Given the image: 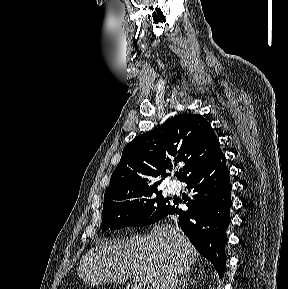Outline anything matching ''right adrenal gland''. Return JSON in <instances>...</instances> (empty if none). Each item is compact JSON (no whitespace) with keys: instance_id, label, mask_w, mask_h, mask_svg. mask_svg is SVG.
Returning <instances> with one entry per match:
<instances>
[{"instance_id":"2a0ac1e0","label":"right adrenal gland","mask_w":288,"mask_h":289,"mask_svg":"<svg viewBox=\"0 0 288 289\" xmlns=\"http://www.w3.org/2000/svg\"><path fill=\"white\" fill-rule=\"evenodd\" d=\"M189 271H186L182 274L180 280H179V284L177 289H185L188 286V280H189Z\"/></svg>"}]
</instances>
